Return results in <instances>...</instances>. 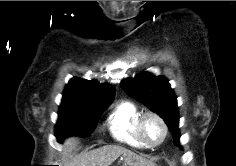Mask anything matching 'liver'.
<instances>
[{
  "label": "liver",
  "instance_id": "6515ba94",
  "mask_svg": "<svg viewBox=\"0 0 236 166\" xmlns=\"http://www.w3.org/2000/svg\"><path fill=\"white\" fill-rule=\"evenodd\" d=\"M76 138L71 137L64 141L63 161L64 166H110L121 155L126 157L131 166H153L154 164L145 158H142L132 151L118 146L106 145L90 152L80 154L73 158H68L69 154L77 145ZM126 165V164H124Z\"/></svg>",
  "mask_w": 236,
  "mask_h": 166
}]
</instances>
